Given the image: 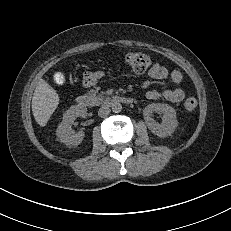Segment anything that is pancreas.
Wrapping results in <instances>:
<instances>
[{"label":"pancreas","instance_id":"1","mask_svg":"<svg viewBox=\"0 0 231 231\" xmlns=\"http://www.w3.org/2000/svg\"><path fill=\"white\" fill-rule=\"evenodd\" d=\"M88 95L90 96L92 100H94L97 104H99L103 102L105 92L98 93L97 90L92 89L88 92Z\"/></svg>","mask_w":231,"mask_h":231}]
</instances>
